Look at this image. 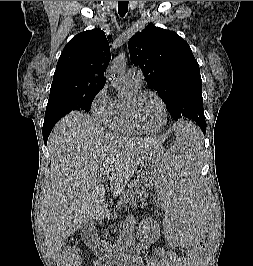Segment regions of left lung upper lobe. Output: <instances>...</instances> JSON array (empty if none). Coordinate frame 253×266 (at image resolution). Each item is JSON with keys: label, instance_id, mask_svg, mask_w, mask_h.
Listing matches in <instances>:
<instances>
[{"label": "left lung upper lobe", "instance_id": "5c2ea615", "mask_svg": "<svg viewBox=\"0 0 253 266\" xmlns=\"http://www.w3.org/2000/svg\"><path fill=\"white\" fill-rule=\"evenodd\" d=\"M128 45L133 64L142 70L173 119L187 118L206 127L200 69L188 43L151 23Z\"/></svg>", "mask_w": 253, "mask_h": 266}]
</instances>
